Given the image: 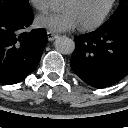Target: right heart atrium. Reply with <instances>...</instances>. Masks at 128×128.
Listing matches in <instances>:
<instances>
[{"label": "right heart atrium", "mask_w": 128, "mask_h": 128, "mask_svg": "<svg viewBox=\"0 0 128 128\" xmlns=\"http://www.w3.org/2000/svg\"><path fill=\"white\" fill-rule=\"evenodd\" d=\"M29 3L38 11H47L50 7L51 0H28Z\"/></svg>", "instance_id": "1"}]
</instances>
